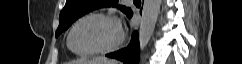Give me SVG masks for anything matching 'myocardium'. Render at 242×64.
<instances>
[{
  "instance_id": "myocardium-1",
  "label": "myocardium",
  "mask_w": 242,
  "mask_h": 64,
  "mask_svg": "<svg viewBox=\"0 0 242 64\" xmlns=\"http://www.w3.org/2000/svg\"><path fill=\"white\" fill-rule=\"evenodd\" d=\"M89 18H103V19L113 22L117 26V29H118V38L116 39L115 42H113L112 44H110L106 47L78 52V51L74 50L72 47L71 37H72V34H73L74 30L76 29V27L82 21L89 19ZM124 39H125V35L123 32L121 23L117 17H115L112 14L104 13V12H91V13L81 16L73 23V25L71 26L69 33L67 35V46L74 54H76L78 56H90V55L106 54V53L113 52L122 45V43L124 42Z\"/></svg>"
}]
</instances>
